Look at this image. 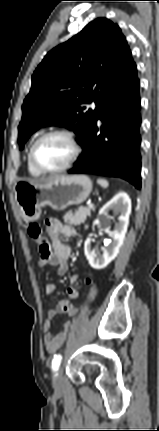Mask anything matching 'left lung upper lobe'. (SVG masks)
I'll return each instance as SVG.
<instances>
[{"mask_svg":"<svg viewBox=\"0 0 159 431\" xmlns=\"http://www.w3.org/2000/svg\"><path fill=\"white\" fill-rule=\"evenodd\" d=\"M117 24L98 18L47 53L32 76L19 125V146L46 125L73 130L84 139L97 109L133 63ZM95 103L86 111L85 104Z\"/></svg>","mask_w":159,"mask_h":431,"instance_id":"1","label":"left lung upper lobe"}]
</instances>
